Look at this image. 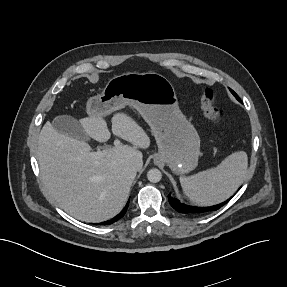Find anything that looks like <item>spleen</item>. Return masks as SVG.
Masks as SVG:
<instances>
[{"label":"spleen","instance_id":"spleen-1","mask_svg":"<svg viewBox=\"0 0 287 287\" xmlns=\"http://www.w3.org/2000/svg\"><path fill=\"white\" fill-rule=\"evenodd\" d=\"M248 167L247 154L234 152L217 167L195 175L180 177L186 196L197 205L211 206L228 199L245 179Z\"/></svg>","mask_w":287,"mask_h":287}]
</instances>
